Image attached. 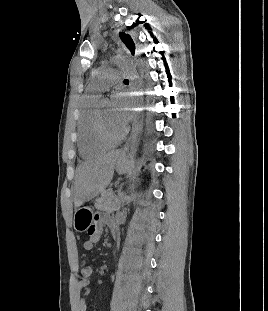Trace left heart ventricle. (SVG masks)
Returning <instances> with one entry per match:
<instances>
[{
	"mask_svg": "<svg viewBox=\"0 0 268 311\" xmlns=\"http://www.w3.org/2000/svg\"><path fill=\"white\" fill-rule=\"evenodd\" d=\"M100 109L107 132L113 136L119 135L124 125L117 120L112 105L104 104L100 107Z\"/></svg>",
	"mask_w": 268,
	"mask_h": 311,
	"instance_id": "b2bd125f",
	"label": "left heart ventricle"
}]
</instances>
